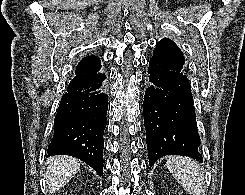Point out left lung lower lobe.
<instances>
[{"mask_svg":"<svg viewBox=\"0 0 245 195\" xmlns=\"http://www.w3.org/2000/svg\"><path fill=\"white\" fill-rule=\"evenodd\" d=\"M143 102L149 165L164 155L202 162L191 86L184 71L152 57Z\"/></svg>","mask_w":245,"mask_h":195,"instance_id":"obj_1","label":"left lung lower lobe"}]
</instances>
